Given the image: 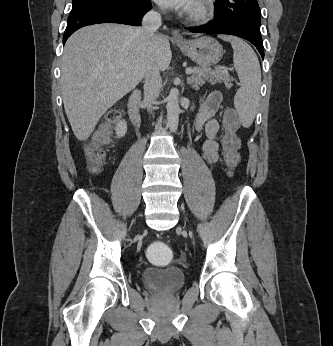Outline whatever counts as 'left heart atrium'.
<instances>
[{"label":"left heart atrium","mask_w":333,"mask_h":346,"mask_svg":"<svg viewBox=\"0 0 333 346\" xmlns=\"http://www.w3.org/2000/svg\"><path fill=\"white\" fill-rule=\"evenodd\" d=\"M159 5L176 10H187L191 7L193 0H155Z\"/></svg>","instance_id":"obj_1"}]
</instances>
